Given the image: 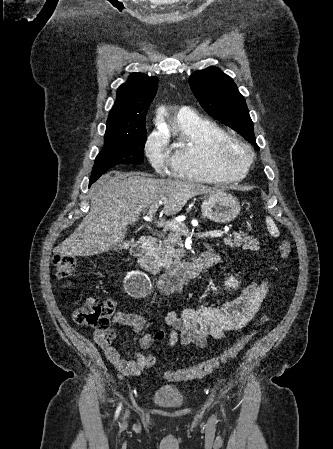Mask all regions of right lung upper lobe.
<instances>
[{
  "mask_svg": "<svg viewBox=\"0 0 333 449\" xmlns=\"http://www.w3.org/2000/svg\"><path fill=\"white\" fill-rule=\"evenodd\" d=\"M158 87V78L133 73L117 90L105 135L132 136L145 127V116Z\"/></svg>",
  "mask_w": 333,
  "mask_h": 449,
  "instance_id": "1",
  "label": "right lung upper lobe"
}]
</instances>
